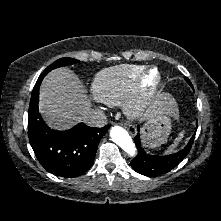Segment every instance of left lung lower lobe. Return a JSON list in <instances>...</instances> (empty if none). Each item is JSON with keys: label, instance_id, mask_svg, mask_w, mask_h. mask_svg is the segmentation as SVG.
<instances>
[{"label": "left lung lower lobe", "instance_id": "obj_1", "mask_svg": "<svg viewBox=\"0 0 221 221\" xmlns=\"http://www.w3.org/2000/svg\"><path fill=\"white\" fill-rule=\"evenodd\" d=\"M194 138L195 134L192 136L185 148L177 153L167 156H154L145 152L138 134L134 138L138 154L132 159L131 166L136 172L149 177L165 174L175 168L187 156L192 148Z\"/></svg>", "mask_w": 221, "mask_h": 221}]
</instances>
